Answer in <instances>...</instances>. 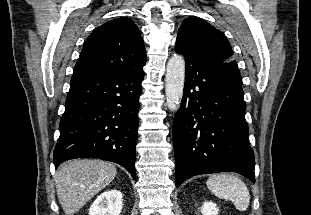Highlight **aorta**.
Here are the masks:
<instances>
[{
  "instance_id": "1",
  "label": "aorta",
  "mask_w": 311,
  "mask_h": 215,
  "mask_svg": "<svg viewBox=\"0 0 311 215\" xmlns=\"http://www.w3.org/2000/svg\"><path fill=\"white\" fill-rule=\"evenodd\" d=\"M185 81V61L174 54L167 63L165 75V95L169 110L177 111L183 96Z\"/></svg>"
}]
</instances>
